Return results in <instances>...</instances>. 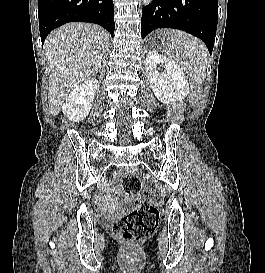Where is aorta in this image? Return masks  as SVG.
I'll return each mask as SVG.
<instances>
[{
	"label": "aorta",
	"instance_id": "aorta-1",
	"mask_svg": "<svg viewBox=\"0 0 265 273\" xmlns=\"http://www.w3.org/2000/svg\"><path fill=\"white\" fill-rule=\"evenodd\" d=\"M141 1L143 5H149L152 2V0H141Z\"/></svg>",
	"mask_w": 265,
	"mask_h": 273
}]
</instances>
